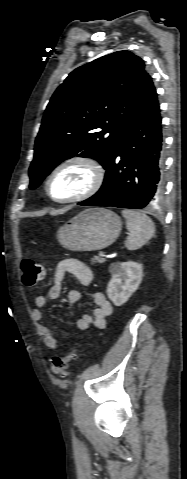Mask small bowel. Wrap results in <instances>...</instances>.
<instances>
[{
	"label": "small bowel",
	"instance_id": "obj_1",
	"mask_svg": "<svg viewBox=\"0 0 187 479\" xmlns=\"http://www.w3.org/2000/svg\"><path fill=\"white\" fill-rule=\"evenodd\" d=\"M66 273L71 274L82 288H88L93 278L91 269L85 263L72 258L62 260L56 268L48 293L35 298L32 317L36 322L41 323L43 318L42 308L49 301L55 300L60 296ZM91 297L95 304L93 313L83 314L75 321L77 328L82 331L89 330L91 325L97 329H103L107 324L108 317L112 313V305L102 292H93ZM81 299L82 292L78 289H72L67 294V306L70 307ZM40 332L44 344L51 350H57L58 344L53 331L46 326L40 325Z\"/></svg>",
	"mask_w": 187,
	"mask_h": 479
}]
</instances>
